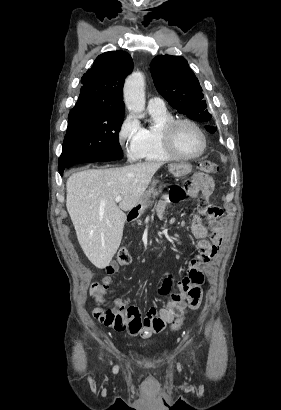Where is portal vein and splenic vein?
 Here are the masks:
<instances>
[{
	"label": "portal vein and splenic vein",
	"instance_id": "obj_1",
	"mask_svg": "<svg viewBox=\"0 0 281 410\" xmlns=\"http://www.w3.org/2000/svg\"><path fill=\"white\" fill-rule=\"evenodd\" d=\"M122 200V197L121 196H117L116 198H115V202H120Z\"/></svg>",
	"mask_w": 281,
	"mask_h": 410
}]
</instances>
